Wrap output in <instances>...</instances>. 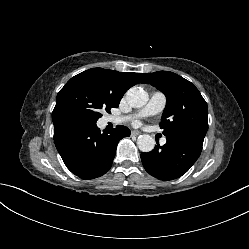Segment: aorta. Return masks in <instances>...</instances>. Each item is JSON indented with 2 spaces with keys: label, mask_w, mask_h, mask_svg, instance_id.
I'll list each match as a JSON object with an SVG mask.
<instances>
[{
  "label": "aorta",
  "mask_w": 249,
  "mask_h": 249,
  "mask_svg": "<svg viewBox=\"0 0 249 249\" xmlns=\"http://www.w3.org/2000/svg\"><path fill=\"white\" fill-rule=\"evenodd\" d=\"M148 93L140 87H132L126 92V100L131 107H143L148 101ZM137 146L142 152H150L154 149L155 140L148 134L140 135Z\"/></svg>",
  "instance_id": "obj_1"
}]
</instances>
